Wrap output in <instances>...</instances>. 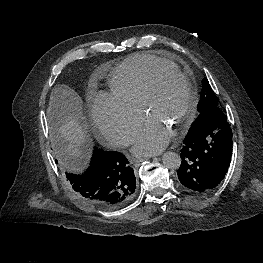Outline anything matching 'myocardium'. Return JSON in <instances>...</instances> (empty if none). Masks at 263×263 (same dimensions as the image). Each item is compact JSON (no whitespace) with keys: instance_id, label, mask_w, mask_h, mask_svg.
<instances>
[{"instance_id":"f54148a6","label":"myocardium","mask_w":263,"mask_h":263,"mask_svg":"<svg viewBox=\"0 0 263 263\" xmlns=\"http://www.w3.org/2000/svg\"><path fill=\"white\" fill-rule=\"evenodd\" d=\"M165 75H171V76L180 78L181 80L185 82L186 87H187L188 102H187L185 111L178 119L176 123V128L174 130L175 134H178L193 119L196 109H197V105H198V95H197L196 89L191 79L186 74L182 73L178 68L161 66L154 70V72L152 73L147 83L140 107L142 111L146 115H148V110L154 98L157 84L159 80L161 79V77Z\"/></svg>"}]
</instances>
